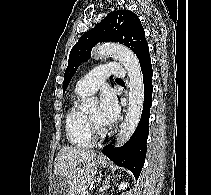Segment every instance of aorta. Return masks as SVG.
<instances>
[{"mask_svg": "<svg viewBox=\"0 0 211 195\" xmlns=\"http://www.w3.org/2000/svg\"><path fill=\"white\" fill-rule=\"evenodd\" d=\"M93 55L114 57L124 66L129 77L128 109L115 144L120 147L132 136L141 118L144 103V82L141 66L138 58L131 50L113 43L97 45L93 50ZM97 106L98 101L94 97H88L81 103V109L84 111L97 108Z\"/></svg>", "mask_w": 211, "mask_h": 195, "instance_id": "obj_1", "label": "aorta"}]
</instances>
